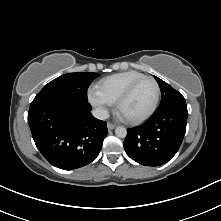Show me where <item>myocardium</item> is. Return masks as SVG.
Returning <instances> with one entry per match:
<instances>
[{
    "label": "myocardium",
    "instance_id": "f54148a6",
    "mask_svg": "<svg viewBox=\"0 0 221 221\" xmlns=\"http://www.w3.org/2000/svg\"><path fill=\"white\" fill-rule=\"evenodd\" d=\"M143 80H151L155 85L156 94H155L153 104L144 114L137 116V117H127L123 114L122 107H123L124 103L128 100V98L131 96V94L134 91V89L136 88V86L140 82H142ZM160 93H161L160 86L155 78H153L152 76H142V77L136 79L135 81H133L125 89V91L121 94V96L119 97V99L116 102L117 111L127 122L132 123V124L141 123V122L145 121L146 119H148L155 112V110L158 106V103H159Z\"/></svg>",
    "mask_w": 221,
    "mask_h": 221
}]
</instances>
